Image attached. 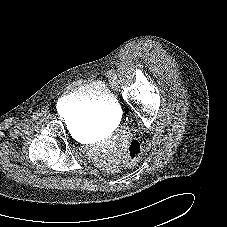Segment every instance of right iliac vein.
<instances>
[{"mask_svg":"<svg viewBox=\"0 0 227 227\" xmlns=\"http://www.w3.org/2000/svg\"><path fill=\"white\" fill-rule=\"evenodd\" d=\"M43 116H44V117H47V114H46V113H44V114H43Z\"/></svg>","mask_w":227,"mask_h":227,"instance_id":"1","label":"right iliac vein"}]
</instances>
